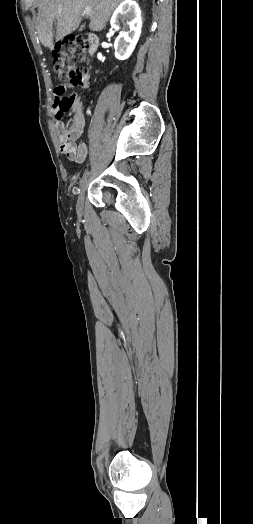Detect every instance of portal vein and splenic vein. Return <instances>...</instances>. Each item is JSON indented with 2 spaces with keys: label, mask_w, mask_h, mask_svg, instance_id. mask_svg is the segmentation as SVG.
<instances>
[{
  "label": "portal vein and splenic vein",
  "mask_w": 253,
  "mask_h": 524,
  "mask_svg": "<svg viewBox=\"0 0 253 524\" xmlns=\"http://www.w3.org/2000/svg\"><path fill=\"white\" fill-rule=\"evenodd\" d=\"M83 13H84L86 16H91V15H92V9H91L90 7H85Z\"/></svg>",
  "instance_id": "portal-vein-and-splenic-vein-1"
}]
</instances>
